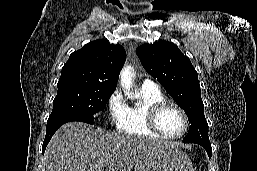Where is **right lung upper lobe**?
<instances>
[{
	"label": "right lung upper lobe",
	"mask_w": 257,
	"mask_h": 171,
	"mask_svg": "<svg viewBox=\"0 0 257 171\" xmlns=\"http://www.w3.org/2000/svg\"><path fill=\"white\" fill-rule=\"evenodd\" d=\"M125 60L122 46L105 40L92 41L70 55L57 86L79 84L115 89Z\"/></svg>",
	"instance_id": "obj_1"
}]
</instances>
